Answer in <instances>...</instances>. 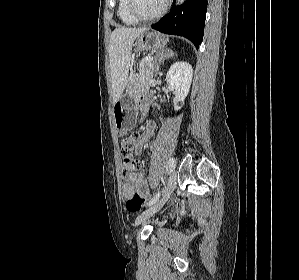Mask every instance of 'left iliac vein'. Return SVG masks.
<instances>
[{
  "mask_svg": "<svg viewBox=\"0 0 299 280\" xmlns=\"http://www.w3.org/2000/svg\"><path fill=\"white\" fill-rule=\"evenodd\" d=\"M176 181H177V174L174 171L170 174V176L167 180V184H166L165 191H164L162 198L157 203H155L153 206H151L149 209L145 210L143 213H141L137 217V219L135 221L136 225H139L141 222L145 221L146 219L151 217L153 214H155L162 208V206L165 204V202L168 200L169 196L173 192V190L176 186Z\"/></svg>",
  "mask_w": 299,
  "mask_h": 280,
  "instance_id": "obj_1",
  "label": "left iliac vein"
}]
</instances>
